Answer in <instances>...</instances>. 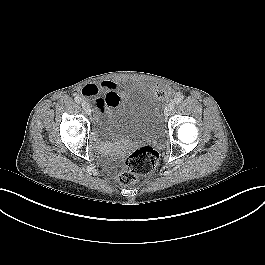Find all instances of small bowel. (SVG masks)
<instances>
[{
  "label": "small bowel",
  "instance_id": "small-bowel-1",
  "mask_svg": "<svg viewBox=\"0 0 265 265\" xmlns=\"http://www.w3.org/2000/svg\"><path fill=\"white\" fill-rule=\"evenodd\" d=\"M129 84L127 82L104 80L100 84L88 83L84 85L81 93L85 98L94 99L93 107L97 113H100L114 107ZM155 91L161 100H166L170 94L166 88L159 85L155 86Z\"/></svg>",
  "mask_w": 265,
  "mask_h": 265
}]
</instances>
